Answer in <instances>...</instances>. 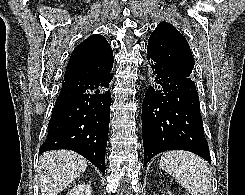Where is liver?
Returning a JSON list of instances; mask_svg holds the SVG:
<instances>
[{
    "label": "liver",
    "mask_w": 245,
    "mask_h": 195,
    "mask_svg": "<svg viewBox=\"0 0 245 195\" xmlns=\"http://www.w3.org/2000/svg\"><path fill=\"white\" fill-rule=\"evenodd\" d=\"M87 161L70 150H54L39 159L41 195H56L84 173Z\"/></svg>",
    "instance_id": "liver-1"
}]
</instances>
